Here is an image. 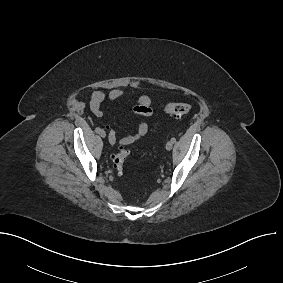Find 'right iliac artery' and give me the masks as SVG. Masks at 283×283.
<instances>
[{"instance_id":"obj_1","label":"right iliac artery","mask_w":283,"mask_h":283,"mask_svg":"<svg viewBox=\"0 0 283 283\" xmlns=\"http://www.w3.org/2000/svg\"><path fill=\"white\" fill-rule=\"evenodd\" d=\"M102 130H101V128H99V127H97L96 129H95V132L96 133H100Z\"/></svg>"}]
</instances>
